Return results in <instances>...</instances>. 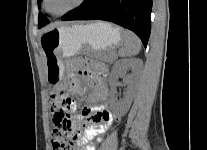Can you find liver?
Segmentation results:
<instances>
[{
    "mask_svg": "<svg viewBox=\"0 0 207 150\" xmlns=\"http://www.w3.org/2000/svg\"><path fill=\"white\" fill-rule=\"evenodd\" d=\"M61 24H62L61 22H55V23H52V24L48 25V26L45 27L43 30H44V31H47V30H50V29H52V28H55V27H57V26H59V25H61Z\"/></svg>",
    "mask_w": 207,
    "mask_h": 150,
    "instance_id": "obj_1",
    "label": "liver"
}]
</instances>
